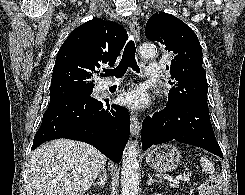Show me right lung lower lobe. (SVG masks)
I'll return each mask as SVG.
<instances>
[{"label": "right lung lower lobe", "instance_id": "98d812e1", "mask_svg": "<svg viewBox=\"0 0 245 195\" xmlns=\"http://www.w3.org/2000/svg\"><path fill=\"white\" fill-rule=\"evenodd\" d=\"M129 134L126 108L90 95L60 99L50 102L31 149L49 140L67 138L91 144L112 161L120 162Z\"/></svg>", "mask_w": 245, "mask_h": 195}]
</instances>
